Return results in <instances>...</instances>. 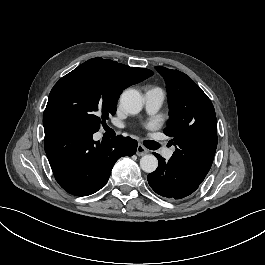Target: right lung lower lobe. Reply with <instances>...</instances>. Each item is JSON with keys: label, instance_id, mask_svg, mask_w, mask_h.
Returning a JSON list of instances; mask_svg holds the SVG:
<instances>
[{"label": "right lung lower lobe", "instance_id": "1", "mask_svg": "<svg viewBox=\"0 0 265 265\" xmlns=\"http://www.w3.org/2000/svg\"><path fill=\"white\" fill-rule=\"evenodd\" d=\"M44 147L59 185L75 196H88L108 181L113 165L122 156H132L137 141L117 136L107 142L94 141V133L72 123L43 120Z\"/></svg>", "mask_w": 265, "mask_h": 265}]
</instances>
